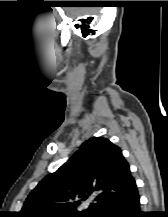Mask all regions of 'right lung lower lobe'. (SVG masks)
<instances>
[{"instance_id":"obj_1","label":"right lung lower lobe","mask_w":168,"mask_h":217,"mask_svg":"<svg viewBox=\"0 0 168 217\" xmlns=\"http://www.w3.org/2000/svg\"><path fill=\"white\" fill-rule=\"evenodd\" d=\"M140 211V197L137 188L129 195L107 203L94 217H144Z\"/></svg>"}]
</instances>
